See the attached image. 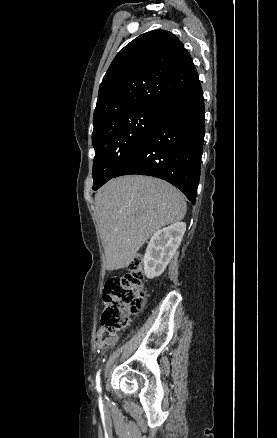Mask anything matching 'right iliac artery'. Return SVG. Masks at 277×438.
Returning <instances> with one entry per match:
<instances>
[{
	"instance_id": "obj_1",
	"label": "right iliac artery",
	"mask_w": 277,
	"mask_h": 438,
	"mask_svg": "<svg viewBox=\"0 0 277 438\" xmlns=\"http://www.w3.org/2000/svg\"><path fill=\"white\" fill-rule=\"evenodd\" d=\"M100 371L97 373V377H96V383H97V391L98 393H101V386H100V377H99Z\"/></svg>"
}]
</instances>
